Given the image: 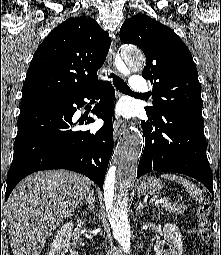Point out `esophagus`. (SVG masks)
<instances>
[{
    "mask_svg": "<svg viewBox=\"0 0 221 255\" xmlns=\"http://www.w3.org/2000/svg\"><path fill=\"white\" fill-rule=\"evenodd\" d=\"M115 55H116V40L114 39L112 40V43L109 49L108 62H109L110 68H112V70L116 73V69L114 66ZM123 128H124V121L122 119L116 120L114 123L115 138H117L121 134Z\"/></svg>",
    "mask_w": 221,
    "mask_h": 255,
    "instance_id": "obj_1",
    "label": "esophagus"
}]
</instances>
